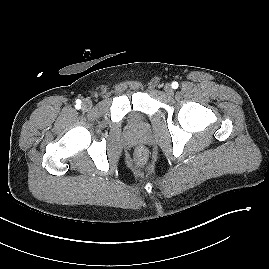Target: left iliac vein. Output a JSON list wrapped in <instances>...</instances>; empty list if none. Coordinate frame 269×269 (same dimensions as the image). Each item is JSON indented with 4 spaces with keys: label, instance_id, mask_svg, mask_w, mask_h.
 <instances>
[{
    "label": "left iliac vein",
    "instance_id": "4c4485c4",
    "mask_svg": "<svg viewBox=\"0 0 269 269\" xmlns=\"http://www.w3.org/2000/svg\"><path fill=\"white\" fill-rule=\"evenodd\" d=\"M164 90H165V92H166L168 95H172V94H173L172 86H171V84H169V83L165 84V86H164Z\"/></svg>",
    "mask_w": 269,
    "mask_h": 269
}]
</instances>
